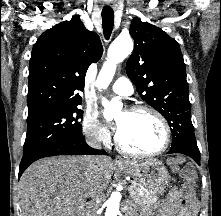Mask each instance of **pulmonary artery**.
<instances>
[{
    "label": "pulmonary artery",
    "mask_w": 221,
    "mask_h": 216,
    "mask_svg": "<svg viewBox=\"0 0 221 216\" xmlns=\"http://www.w3.org/2000/svg\"><path fill=\"white\" fill-rule=\"evenodd\" d=\"M114 93L120 96H130L133 94V86L130 80L126 77L118 78L111 86Z\"/></svg>",
    "instance_id": "1"
}]
</instances>
